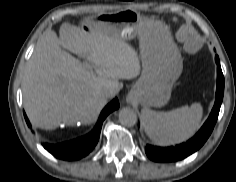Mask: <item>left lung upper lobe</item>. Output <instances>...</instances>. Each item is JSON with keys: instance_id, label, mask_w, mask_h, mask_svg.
<instances>
[{"instance_id": "1", "label": "left lung upper lobe", "mask_w": 236, "mask_h": 182, "mask_svg": "<svg viewBox=\"0 0 236 182\" xmlns=\"http://www.w3.org/2000/svg\"><path fill=\"white\" fill-rule=\"evenodd\" d=\"M219 58V57H218ZM215 61L217 62L218 61V59H217V55L215 56Z\"/></svg>"}]
</instances>
